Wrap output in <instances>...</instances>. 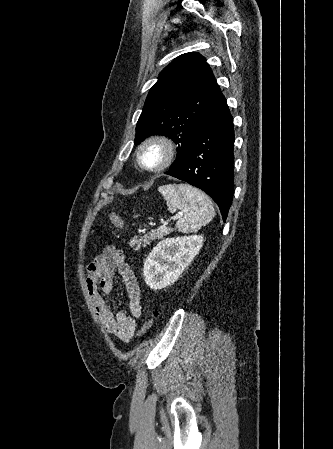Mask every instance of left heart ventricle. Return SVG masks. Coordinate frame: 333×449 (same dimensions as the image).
<instances>
[{
  "label": "left heart ventricle",
  "mask_w": 333,
  "mask_h": 449,
  "mask_svg": "<svg viewBox=\"0 0 333 449\" xmlns=\"http://www.w3.org/2000/svg\"><path fill=\"white\" fill-rule=\"evenodd\" d=\"M160 152L157 149L151 148L144 152L143 161L148 165H155L160 160Z\"/></svg>",
  "instance_id": "obj_1"
}]
</instances>
